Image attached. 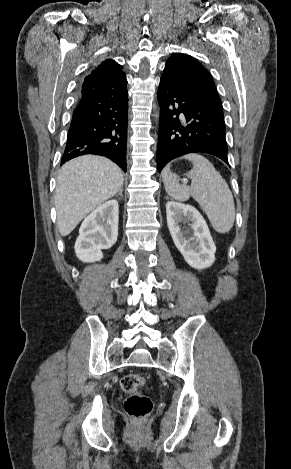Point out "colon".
Masks as SVG:
<instances>
[{
  "label": "colon",
  "mask_w": 291,
  "mask_h": 469,
  "mask_svg": "<svg viewBox=\"0 0 291 469\" xmlns=\"http://www.w3.org/2000/svg\"><path fill=\"white\" fill-rule=\"evenodd\" d=\"M144 383V377L137 373L125 375L121 379V388L127 395L124 409L132 419L137 421L147 417L152 410L151 399L140 391Z\"/></svg>",
  "instance_id": "5ec220e1"
}]
</instances>
